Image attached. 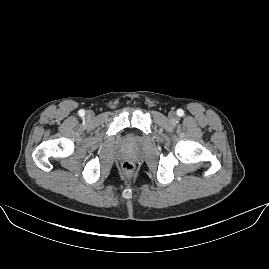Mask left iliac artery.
<instances>
[{"mask_svg": "<svg viewBox=\"0 0 269 269\" xmlns=\"http://www.w3.org/2000/svg\"><path fill=\"white\" fill-rule=\"evenodd\" d=\"M177 115L178 116H183L184 115V111L182 109H178L177 110Z\"/></svg>", "mask_w": 269, "mask_h": 269, "instance_id": "1", "label": "left iliac artery"}]
</instances>
